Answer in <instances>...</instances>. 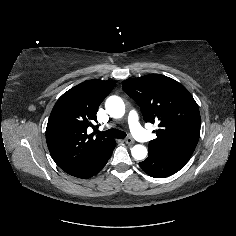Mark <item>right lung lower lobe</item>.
Returning <instances> with one entry per match:
<instances>
[{"instance_id":"1","label":"right lung lower lobe","mask_w":236,"mask_h":236,"mask_svg":"<svg viewBox=\"0 0 236 236\" xmlns=\"http://www.w3.org/2000/svg\"><path fill=\"white\" fill-rule=\"evenodd\" d=\"M115 146H116V142L114 140V142L109 146V148L106 149L104 152H102L83 173L75 177L85 179V178L92 177L93 175L98 173L105 166L108 159L111 157Z\"/></svg>"}]
</instances>
